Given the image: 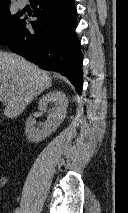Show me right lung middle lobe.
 <instances>
[{"label":"right lung middle lobe","instance_id":"dd1d6c3e","mask_svg":"<svg viewBox=\"0 0 128 213\" xmlns=\"http://www.w3.org/2000/svg\"><path fill=\"white\" fill-rule=\"evenodd\" d=\"M8 4L0 6V44L14 31L21 22V15H11Z\"/></svg>","mask_w":128,"mask_h":213}]
</instances>
